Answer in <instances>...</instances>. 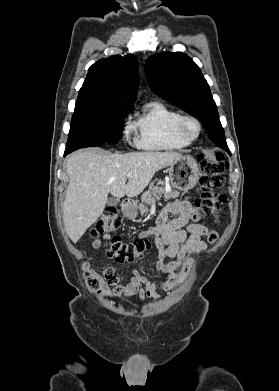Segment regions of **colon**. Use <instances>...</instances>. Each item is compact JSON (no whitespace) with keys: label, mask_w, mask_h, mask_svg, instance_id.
<instances>
[{"label":"colon","mask_w":279,"mask_h":391,"mask_svg":"<svg viewBox=\"0 0 279 391\" xmlns=\"http://www.w3.org/2000/svg\"><path fill=\"white\" fill-rule=\"evenodd\" d=\"M201 166L200 192L201 200L196 203L192 215L194 219L212 217L219 220L222 215V207L226 202V196L220 189L226 183L225 163L223 157L217 154L214 158L201 156L199 159ZM121 228V218L113 207L105 209L104 213L96 221L92 234L94 236L108 235L109 248L107 255L118 263L132 262L142 258L151 247L152 242L148 238H135L132 241H123L117 235ZM110 234H113L110 236ZM217 233L214 231L206 235L208 242L217 240ZM88 286L98 294L109 293L110 288L115 286L117 278L113 269H106L102 274L86 272Z\"/></svg>","instance_id":"colon-1"}]
</instances>
